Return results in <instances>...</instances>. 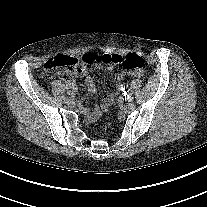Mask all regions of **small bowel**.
Listing matches in <instances>:
<instances>
[{"instance_id": "obj_1", "label": "small bowel", "mask_w": 207, "mask_h": 207, "mask_svg": "<svg viewBox=\"0 0 207 207\" xmlns=\"http://www.w3.org/2000/svg\"><path fill=\"white\" fill-rule=\"evenodd\" d=\"M108 70L112 71L113 66H111V65L108 66ZM78 74L85 78V85H86V88L88 89V91L92 94H95L97 92L95 79L88 74V70L83 66L78 71ZM142 74H143L142 71H134L132 73L126 72V71L118 72L115 76V79L118 82L117 92L105 95L101 99L100 106H95L91 110H88L85 114L86 122L92 123V122L96 121L102 114L109 111L110 107L113 104L114 96L118 92H124L126 90V86L124 84H122V81H123V79L125 78L126 75H132L134 77H141ZM70 90L74 91V86L73 85H70Z\"/></svg>"}]
</instances>
